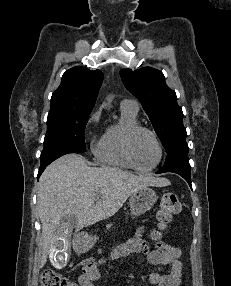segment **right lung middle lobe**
I'll return each mask as SVG.
<instances>
[{"label": "right lung middle lobe", "mask_w": 231, "mask_h": 286, "mask_svg": "<svg viewBox=\"0 0 231 286\" xmlns=\"http://www.w3.org/2000/svg\"><path fill=\"white\" fill-rule=\"evenodd\" d=\"M91 110H50L40 159L66 150L85 152V126Z\"/></svg>", "instance_id": "obj_1"}]
</instances>
